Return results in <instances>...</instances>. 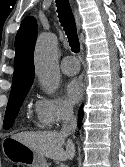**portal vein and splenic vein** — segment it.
Instances as JSON below:
<instances>
[{"instance_id":"obj_1","label":"portal vein and splenic vein","mask_w":125,"mask_h":167,"mask_svg":"<svg viewBox=\"0 0 125 167\" xmlns=\"http://www.w3.org/2000/svg\"><path fill=\"white\" fill-rule=\"evenodd\" d=\"M61 167H67V166H65V165H62Z\"/></svg>"}]
</instances>
